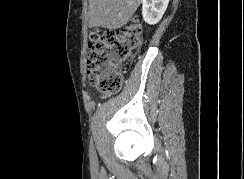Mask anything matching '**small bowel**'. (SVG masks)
<instances>
[{
    "label": "small bowel",
    "instance_id": "obj_1",
    "mask_svg": "<svg viewBox=\"0 0 244 179\" xmlns=\"http://www.w3.org/2000/svg\"><path fill=\"white\" fill-rule=\"evenodd\" d=\"M108 96H109V94H107V93H101V94H100V97H101L102 99L107 98Z\"/></svg>",
    "mask_w": 244,
    "mask_h": 179
}]
</instances>
